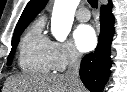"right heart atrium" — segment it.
<instances>
[{"instance_id":"obj_1","label":"right heart atrium","mask_w":127,"mask_h":92,"mask_svg":"<svg viewBox=\"0 0 127 92\" xmlns=\"http://www.w3.org/2000/svg\"><path fill=\"white\" fill-rule=\"evenodd\" d=\"M51 61L56 71H62L81 61V54L70 41H52Z\"/></svg>"}]
</instances>
